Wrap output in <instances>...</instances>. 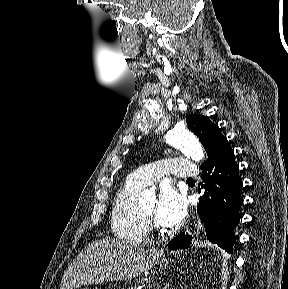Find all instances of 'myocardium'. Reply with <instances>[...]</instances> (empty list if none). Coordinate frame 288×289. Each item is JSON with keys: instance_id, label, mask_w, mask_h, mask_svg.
Masks as SVG:
<instances>
[{"instance_id": "f54148a6", "label": "myocardium", "mask_w": 288, "mask_h": 289, "mask_svg": "<svg viewBox=\"0 0 288 289\" xmlns=\"http://www.w3.org/2000/svg\"><path fill=\"white\" fill-rule=\"evenodd\" d=\"M139 213H140V216L142 218V220L146 223V224H151L153 221H152V218H150L149 216H147L140 208H139Z\"/></svg>"}]
</instances>
